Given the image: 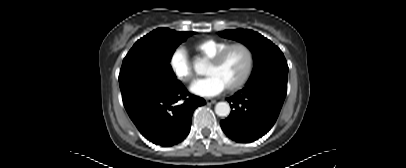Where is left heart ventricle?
Instances as JSON below:
<instances>
[{
  "mask_svg": "<svg viewBox=\"0 0 406 168\" xmlns=\"http://www.w3.org/2000/svg\"><path fill=\"white\" fill-rule=\"evenodd\" d=\"M247 65V54L241 47L231 49L218 66L208 64L206 75L217 77L225 88L235 84L243 75Z\"/></svg>",
  "mask_w": 406,
  "mask_h": 168,
  "instance_id": "1",
  "label": "left heart ventricle"
}]
</instances>
